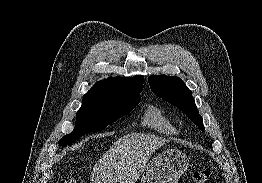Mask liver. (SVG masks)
I'll return each mask as SVG.
<instances>
[{
  "label": "liver",
  "instance_id": "obj_1",
  "mask_svg": "<svg viewBox=\"0 0 262 183\" xmlns=\"http://www.w3.org/2000/svg\"><path fill=\"white\" fill-rule=\"evenodd\" d=\"M168 142L151 134L124 135L94 165L91 183H136L151 154Z\"/></svg>",
  "mask_w": 262,
  "mask_h": 183
}]
</instances>
